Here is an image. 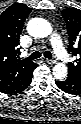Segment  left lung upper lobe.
Here are the masks:
<instances>
[{
  "label": "left lung upper lobe",
  "mask_w": 81,
  "mask_h": 124,
  "mask_svg": "<svg viewBox=\"0 0 81 124\" xmlns=\"http://www.w3.org/2000/svg\"><path fill=\"white\" fill-rule=\"evenodd\" d=\"M62 15L69 34L68 52L76 57V60L68 65V77L81 83V10L76 8L64 9Z\"/></svg>",
  "instance_id": "obj_1"
}]
</instances>
